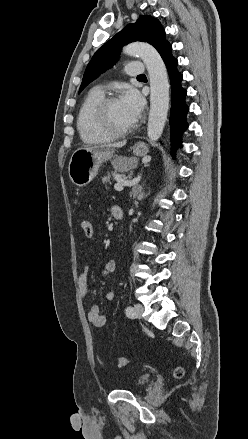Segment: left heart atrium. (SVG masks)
<instances>
[{
  "label": "left heart atrium",
  "instance_id": "obj_1",
  "mask_svg": "<svg viewBox=\"0 0 248 439\" xmlns=\"http://www.w3.org/2000/svg\"><path fill=\"white\" fill-rule=\"evenodd\" d=\"M120 101L133 121H137L144 109L142 96L135 89L129 88L125 91Z\"/></svg>",
  "mask_w": 248,
  "mask_h": 439
}]
</instances>
